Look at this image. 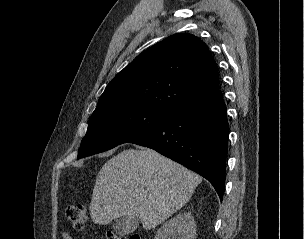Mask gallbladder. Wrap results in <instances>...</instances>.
Returning <instances> with one entry per match:
<instances>
[{
  "label": "gallbladder",
  "instance_id": "bac80fb5",
  "mask_svg": "<svg viewBox=\"0 0 304 239\" xmlns=\"http://www.w3.org/2000/svg\"><path fill=\"white\" fill-rule=\"evenodd\" d=\"M139 225V219L134 216H123L115 220L113 230L120 236L132 233Z\"/></svg>",
  "mask_w": 304,
  "mask_h": 239
}]
</instances>
